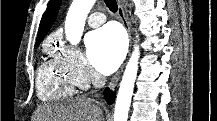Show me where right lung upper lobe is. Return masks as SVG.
Returning <instances> with one entry per match:
<instances>
[{"label": "right lung upper lobe", "mask_w": 217, "mask_h": 121, "mask_svg": "<svg viewBox=\"0 0 217 121\" xmlns=\"http://www.w3.org/2000/svg\"><path fill=\"white\" fill-rule=\"evenodd\" d=\"M59 4V0H50L48 7L45 13L43 14V17L40 22L39 31L37 35V44L43 40L48 30L50 29L59 9Z\"/></svg>", "instance_id": "1"}]
</instances>
